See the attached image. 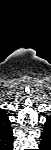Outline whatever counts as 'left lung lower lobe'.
Returning a JSON list of instances; mask_svg holds the SVG:
<instances>
[{"label":"left lung lower lobe","instance_id":"obj_1","mask_svg":"<svg viewBox=\"0 0 51 150\" xmlns=\"http://www.w3.org/2000/svg\"><path fill=\"white\" fill-rule=\"evenodd\" d=\"M41 138H42V141H41L40 146H41V147L47 146V144H48V143L50 142V140H51V132L46 133V132L43 131V133L41 134Z\"/></svg>","mask_w":51,"mask_h":150}]
</instances>
